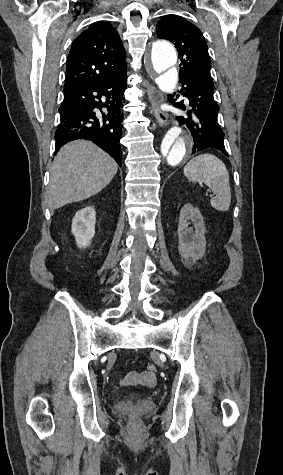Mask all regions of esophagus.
Segmentation results:
<instances>
[{
	"label": "esophagus",
	"instance_id": "esophagus-1",
	"mask_svg": "<svg viewBox=\"0 0 283 475\" xmlns=\"http://www.w3.org/2000/svg\"><path fill=\"white\" fill-rule=\"evenodd\" d=\"M148 96L152 105V112L159 125H165L168 121V115L161 109V105L164 103L163 94L155 87L150 86Z\"/></svg>",
	"mask_w": 283,
	"mask_h": 475
}]
</instances>
